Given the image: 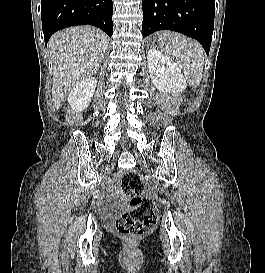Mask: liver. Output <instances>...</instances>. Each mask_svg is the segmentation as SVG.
Returning <instances> with one entry per match:
<instances>
[{
    "instance_id": "obj_1",
    "label": "liver",
    "mask_w": 265,
    "mask_h": 273,
    "mask_svg": "<svg viewBox=\"0 0 265 273\" xmlns=\"http://www.w3.org/2000/svg\"><path fill=\"white\" fill-rule=\"evenodd\" d=\"M48 47L53 62V103L59 108L78 83L97 72L108 40L95 27L76 26L54 34Z\"/></svg>"
}]
</instances>
